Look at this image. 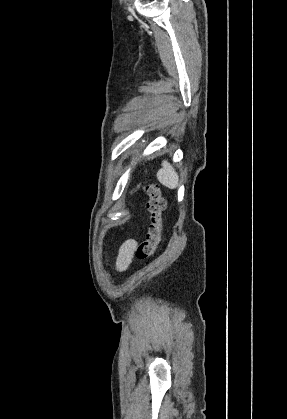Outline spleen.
I'll return each mask as SVG.
<instances>
[{"label":"spleen","mask_w":287,"mask_h":419,"mask_svg":"<svg viewBox=\"0 0 287 419\" xmlns=\"http://www.w3.org/2000/svg\"><path fill=\"white\" fill-rule=\"evenodd\" d=\"M157 172V179L164 186L175 189L178 187L179 176L169 162L164 160Z\"/></svg>","instance_id":"3e777b00"}]
</instances>
